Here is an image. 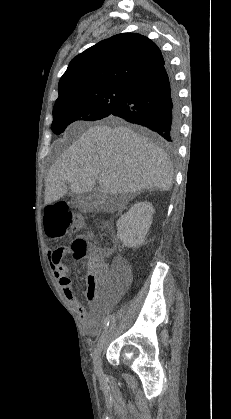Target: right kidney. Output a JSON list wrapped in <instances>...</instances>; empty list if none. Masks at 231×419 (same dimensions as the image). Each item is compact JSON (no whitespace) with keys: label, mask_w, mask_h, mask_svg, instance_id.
<instances>
[{"label":"right kidney","mask_w":231,"mask_h":419,"mask_svg":"<svg viewBox=\"0 0 231 419\" xmlns=\"http://www.w3.org/2000/svg\"><path fill=\"white\" fill-rule=\"evenodd\" d=\"M154 208L149 202L134 204L117 221V236L126 247L141 245L152 224Z\"/></svg>","instance_id":"1"}]
</instances>
